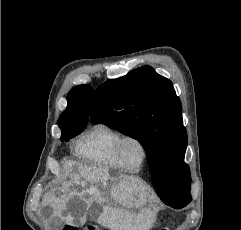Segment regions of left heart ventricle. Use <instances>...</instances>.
Returning a JSON list of instances; mask_svg holds the SVG:
<instances>
[{
  "mask_svg": "<svg viewBox=\"0 0 241 230\" xmlns=\"http://www.w3.org/2000/svg\"><path fill=\"white\" fill-rule=\"evenodd\" d=\"M122 156L129 167L137 168L142 161L143 151L136 141L130 140L123 146Z\"/></svg>",
  "mask_w": 241,
  "mask_h": 230,
  "instance_id": "1",
  "label": "left heart ventricle"
}]
</instances>
